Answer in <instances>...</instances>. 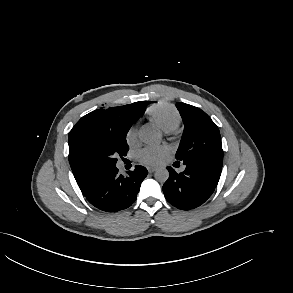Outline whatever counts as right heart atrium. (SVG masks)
I'll return each mask as SVG.
<instances>
[{
	"label": "right heart atrium",
	"mask_w": 293,
	"mask_h": 293,
	"mask_svg": "<svg viewBox=\"0 0 293 293\" xmlns=\"http://www.w3.org/2000/svg\"><path fill=\"white\" fill-rule=\"evenodd\" d=\"M137 141V128L135 125H132L126 133V142L129 145L134 144Z\"/></svg>",
	"instance_id": "1"
}]
</instances>
